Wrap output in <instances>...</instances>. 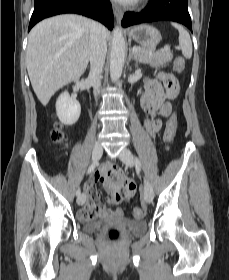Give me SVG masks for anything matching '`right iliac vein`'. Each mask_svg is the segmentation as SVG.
<instances>
[{
  "mask_svg": "<svg viewBox=\"0 0 229 280\" xmlns=\"http://www.w3.org/2000/svg\"><path fill=\"white\" fill-rule=\"evenodd\" d=\"M102 154H103L102 146L99 143L94 144L93 150H92V159H93V161L94 162L98 161L101 158ZM84 201H85L84 194L80 195L77 198V204L78 205H83Z\"/></svg>",
  "mask_w": 229,
  "mask_h": 280,
  "instance_id": "1",
  "label": "right iliac vein"
}]
</instances>
